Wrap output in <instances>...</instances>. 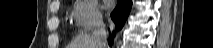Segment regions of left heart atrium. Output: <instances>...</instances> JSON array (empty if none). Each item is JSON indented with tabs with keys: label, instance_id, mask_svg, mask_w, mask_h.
<instances>
[{
	"label": "left heart atrium",
	"instance_id": "39dd6f15",
	"mask_svg": "<svg viewBox=\"0 0 213 48\" xmlns=\"http://www.w3.org/2000/svg\"><path fill=\"white\" fill-rule=\"evenodd\" d=\"M111 4H112V2L107 0V1L104 2V7L109 8L111 6Z\"/></svg>",
	"mask_w": 213,
	"mask_h": 48
}]
</instances>
